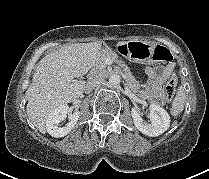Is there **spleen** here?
<instances>
[{
	"mask_svg": "<svg viewBox=\"0 0 209 179\" xmlns=\"http://www.w3.org/2000/svg\"><path fill=\"white\" fill-rule=\"evenodd\" d=\"M185 98L186 96L184 89L182 87H179L177 95L174 98L170 108L171 114L174 117L178 116L183 111L185 105Z\"/></svg>",
	"mask_w": 209,
	"mask_h": 179,
	"instance_id": "obj_1",
	"label": "spleen"
}]
</instances>
